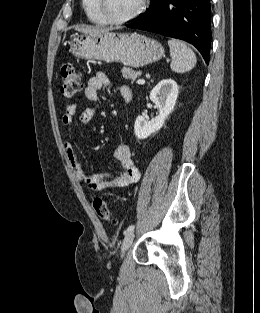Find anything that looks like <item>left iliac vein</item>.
I'll return each mask as SVG.
<instances>
[{"instance_id": "1", "label": "left iliac vein", "mask_w": 260, "mask_h": 313, "mask_svg": "<svg viewBox=\"0 0 260 313\" xmlns=\"http://www.w3.org/2000/svg\"><path fill=\"white\" fill-rule=\"evenodd\" d=\"M133 239H134V231L133 230L126 233V235L123 239L122 247H121L122 255H124V253L129 249V247L131 246V244L133 242Z\"/></svg>"}]
</instances>
